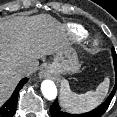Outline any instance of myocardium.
Segmentation results:
<instances>
[{"instance_id":"1","label":"myocardium","mask_w":117,"mask_h":117,"mask_svg":"<svg viewBox=\"0 0 117 117\" xmlns=\"http://www.w3.org/2000/svg\"><path fill=\"white\" fill-rule=\"evenodd\" d=\"M93 45H94V46H95V45H97V42H96V41H94V42H93Z\"/></svg>"}]
</instances>
